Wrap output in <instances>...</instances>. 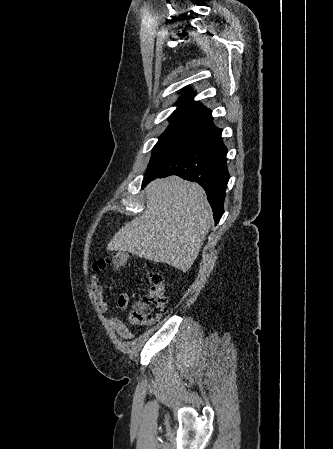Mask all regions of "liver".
Listing matches in <instances>:
<instances>
[{
  "label": "liver",
  "instance_id": "liver-1",
  "mask_svg": "<svg viewBox=\"0 0 333 449\" xmlns=\"http://www.w3.org/2000/svg\"><path fill=\"white\" fill-rule=\"evenodd\" d=\"M145 193L144 213L125 224L107 249L188 271L212 222L205 191L197 183L171 176L152 181Z\"/></svg>",
  "mask_w": 333,
  "mask_h": 449
}]
</instances>
